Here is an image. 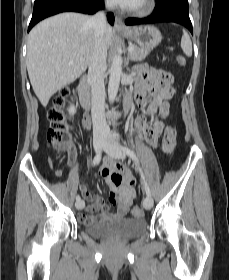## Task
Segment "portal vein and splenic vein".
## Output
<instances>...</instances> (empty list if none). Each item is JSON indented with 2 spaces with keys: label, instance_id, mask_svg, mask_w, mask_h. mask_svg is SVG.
I'll list each match as a JSON object with an SVG mask.
<instances>
[{
  "label": "portal vein and splenic vein",
  "instance_id": "18ae733b",
  "mask_svg": "<svg viewBox=\"0 0 229 280\" xmlns=\"http://www.w3.org/2000/svg\"><path fill=\"white\" fill-rule=\"evenodd\" d=\"M133 51H134V48H133L132 46L128 48V52H129V53H132ZM72 63H73V62L71 61L70 64H72Z\"/></svg>",
  "mask_w": 229,
  "mask_h": 280
}]
</instances>
